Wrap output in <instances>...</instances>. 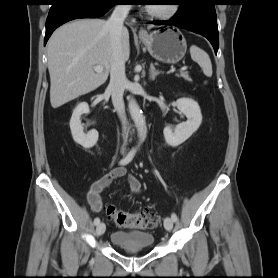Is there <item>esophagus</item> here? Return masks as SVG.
<instances>
[{"mask_svg":"<svg viewBox=\"0 0 278 278\" xmlns=\"http://www.w3.org/2000/svg\"><path fill=\"white\" fill-rule=\"evenodd\" d=\"M138 34L140 37H145L148 35V32L145 28H140L139 31H138Z\"/></svg>","mask_w":278,"mask_h":278,"instance_id":"34e87169","label":"esophagus"}]
</instances>
